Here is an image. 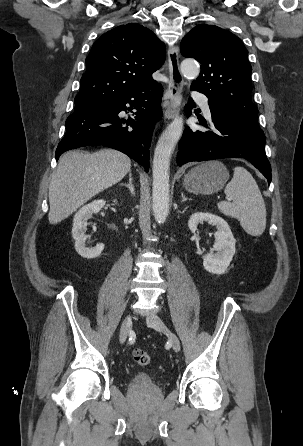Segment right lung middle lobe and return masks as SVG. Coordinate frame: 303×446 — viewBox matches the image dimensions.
Segmentation results:
<instances>
[{
    "label": "right lung middle lobe",
    "instance_id": "dd1d6c3e",
    "mask_svg": "<svg viewBox=\"0 0 303 446\" xmlns=\"http://www.w3.org/2000/svg\"><path fill=\"white\" fill-rule=\"evenodd\" d=\"M88 106H90L88 105V101L80 98H75V110H79Z\"/></svg>",
    "mask_w": 303,
    "mask_h": 446
}]
</instances>
